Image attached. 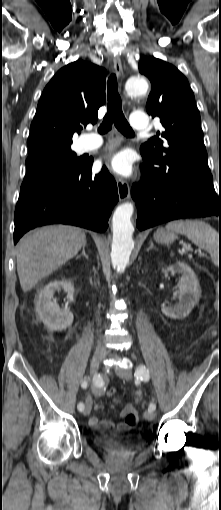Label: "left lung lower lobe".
<instances>
[{
  "label": "left lung lower lobe",
  "mask_w": 221,
  "mask_h": 510,
  "mask_svg": "<svg viewBox=\"0 0 221 510\" xmlns=\"http://www.w3.org/2000/svg\"><path fill=\"white\" fill-rule=\"evenodd\" d=\"M142 157V180L131 189L138 208L136 226L139 230L184 218L216 215L221 220V192L216 193L213 184L199 181L163 183L147 159Z\"/></svg>",
  "instance_id": "obj_1"
}]
</instances>
